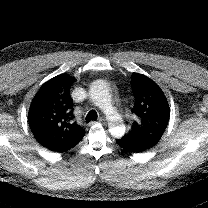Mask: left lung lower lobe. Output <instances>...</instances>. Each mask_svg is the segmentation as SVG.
<instances>
[{
	"instance_id": "left-lung-lower-lobe-1",
	"label": "left lung lower lobe",
	"mask_w": 208,
	"mask_h": 208,
	"mask_svg": "<svg viewBox=\"0 0 208 208\" xmlns=\"http://www.w3.org/2000/svg\"><path fill=\"white\" fill-rule=\"evenodd\" d=\"M116 143L125 151L131 152V153H140V152L148 150L145 146L134 143L124 138L116 139Z\"/></svg>"
}]
</instances>
